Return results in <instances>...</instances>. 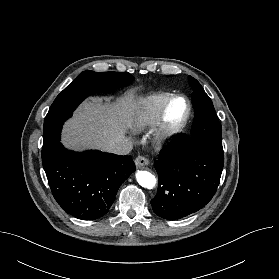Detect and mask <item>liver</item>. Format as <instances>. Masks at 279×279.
Here are the masks:
<instances>
[{
    "mask_svg": "<svg viewBox=\"0 0 279 279\" xmlns=\"http://www.w3.org/2000/svg\"><path fill=\"white\" fill-rule=\"evenodd\" d=\"M140 107L141 101L132 93L117 98L113 103L103 102L98 97L86 100L65 123L62 143L72 150H105L108 143L125 138Z\"/></svg>",
    "mask_w": 279,
    "mask_h": 279,
    "instance_id": "1",
    "label": "liver"
}]
</instances>
